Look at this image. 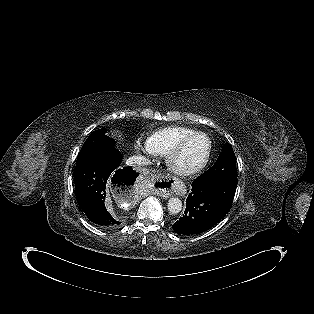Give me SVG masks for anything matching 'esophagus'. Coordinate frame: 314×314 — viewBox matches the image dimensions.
<instances>
[{"label":"esophagus","instance_id":"obj_1","mask_svg":"<svg viewBox=\"0 0 314 314\" xmlns=\"http://www.w3.org/2000/svg\"><path fill=\"white\" fill-rule=\"evenodd\" d=\"M165 182H168L170 184V186H166L163 189H159V190H155V194L168 198L170 197L172 194H176L179 196H183L186 192L185 188L183 187L182 182L177 179L176 177H162ZM162 182V180H160Z\"/></svg>","mask_w":314,"mask_h":314}]
</instances>
